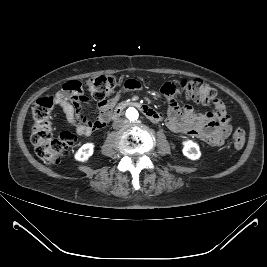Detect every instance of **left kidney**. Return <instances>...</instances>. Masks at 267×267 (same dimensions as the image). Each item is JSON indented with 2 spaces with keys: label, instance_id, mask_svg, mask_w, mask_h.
I'll return each instance as SVG.
<instances>
[{
  "label": "left kidney",
  "instance_id": "obj_1",
  "mask_svg": "<svg viewBox=\"0 0 267 267\" xmlns=\"http://www.w3.org/2000/svg\"><path fill=\"white\" fill-rule=\"evenodd\" d=\"M183 154L191 160H197L200 158V150L197 143L187 140L183 142Z\"/></svg>",
  "mask_w": 267,
  "mask_h": 267
}]
</instances>
